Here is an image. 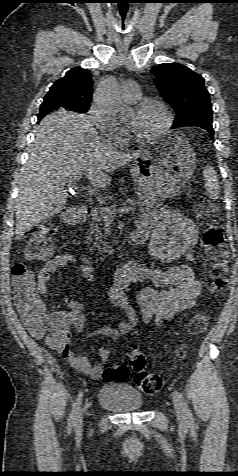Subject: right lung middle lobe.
Here are the masks:
<instances>
[{
  "instance_id": "dd1d6c3e",
  "label": "right lung middle lobe",
  "mask_w": 238,
  "mask_h": 476,
  "mask_svg": "<svg viewBox=\"0 0 238 476\" xmlns=\"http://www.w3.org/2000/svg\"><path fill=\"white\" fill-rule=\"evenodd\" d=\"M89 109V106H76V107H73L72 111H76V112H79V113H85L87 112V110ZM62 111L60 110L58 107H57V104L55 103H51V102H43L41 104V108H40V113H39V116H38V119L40 120L43 116H45L46 114L52 112V111ZM64 111V110H63Z\"/></svg>"
}]
</instances>
